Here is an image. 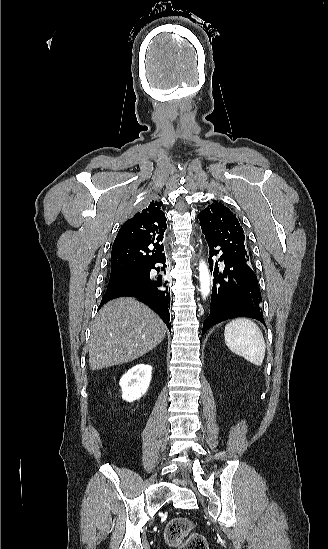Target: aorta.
Here are the masks:
<instances>
[{
	"label": "aorta",
	"instance_id": "obj_1",
	"mask_svg": "<svg viewBox=\"0 0 328 549\" xmlns=\"http://www.w3.org/2000/svg\"><path fill=\"white\" fill-rule=\"evenodd\" d=\"M199 280L202 297L206 299L211 290V277L209 269L203 260L199 263Z\"/></svg>",
	"mask_w": 328,
	"mask_h": 549
}]
</instances>
